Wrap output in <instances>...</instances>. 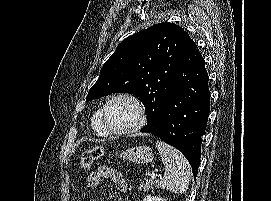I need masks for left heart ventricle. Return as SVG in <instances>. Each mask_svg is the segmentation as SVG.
Returning <instances> with one entry per match:
<instances>
[{
	"mask_svg": "<svg viewBox=\"0 0 271 201\" xmlns=\"http://www.w3.org/2000/svg\"><path fill=\"white\" fill-rule=\"evenodd\" d=\"M107 119L115 129H128L138 121V111L129 100H115L107 108Z\"/></svg>",
	"mask_w": 271,
	"mask_h": 201,
	"instance_id": "obj_1",
	"label": "left heart ventricle"
}]
</instances>
